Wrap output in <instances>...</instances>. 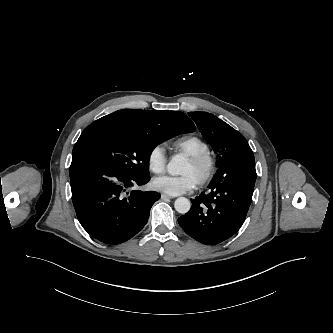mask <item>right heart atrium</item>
Wrapping results in <instances>:
<instances>
[{
  "label": "right heart atrium",
  "instance_id": "d8ad5b80",
  "mask_svg": "<svg viewBox=\"0 0 333 333\" xmlns=\"http://www.w3.org/2000/svg\"><path fill=\"white\" fill-rule=\"evenodd\" d=\"M147 166L148 169L156 175L166 171L167 157L162 146L156 145L149 151L147 156Z\"/></svg>",
  "mask_w": 333,
  "mask_h": 333
}]
</instances>
